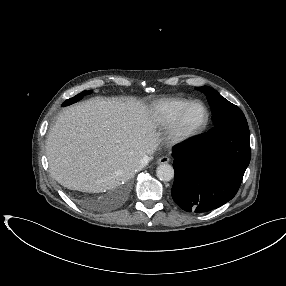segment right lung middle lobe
I'll return each instance as SVG.
<instances>
[{
  "label": "right lung middle lobe",
  "instance_id": "obj_1",
  "mask_svg": "<svg viewBox=\"0 0 286 286\" xmlns=\"http://www.w3.org/2000/svg\"><path fill=\"white\" fill-rule=\"evenodd\" d=\"M89 93H92V91H83V92L79 93L78 95L64 101L62 106H68L70 104H73V103L81 100L85 95H87Z\"/></svg>",
  "mask_w": 286,
  "mask_h": 286
}]
</instances>
